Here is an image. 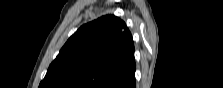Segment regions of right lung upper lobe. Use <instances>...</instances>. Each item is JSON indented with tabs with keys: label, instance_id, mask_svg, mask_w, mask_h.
<instances>
[{
	"label": "right lung upper lobe",
	"instance_id": "obj_1",
	"mask_svg": "<svg viewBox=\"0 0 223 88\" xmlns=\"http://www.w3.org/2000/svg\"><path fill=\"white\" fill-rule=\"evenodd\" d=\"M135 69L130 31L124 21L106 15L68 39L39 88H131Z\"/></svg>",
	"mask_w": 223,
	"mask_h": 88
}]
</instances>
